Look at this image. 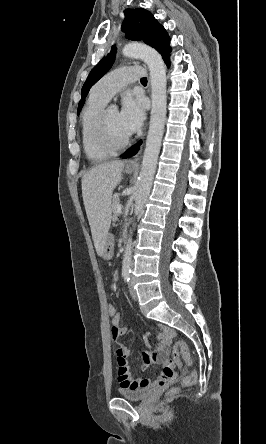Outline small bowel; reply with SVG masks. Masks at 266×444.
<instances>
[{
    "mask_svg": "<svg viewBox=\"0 0 266 444\" xmlns=\"http://www.w3.org/2000/svg\"><path fill=\"white\" fill-rule=\"evenodd\" d=\"M111 332L114 339L122 337L126 333V328L121 325V317L118 313L111 319ZM173 331L167 327H160L158 334V345L154 350H145L142 353L143 368H147L151 364L161 365L160 375L150 379L147 377L134 378L131 375L127 365V357L130 350L125 345H119L117 348V364H118V381L121 388L136 389L146 386H167L176 379L175 365L169 360V344ZM149 335L146 336V339Z\"/></svg>",
    "mask_w": 266,
    "mask_h": 444,
    "instance_id": "small-bowel-1",
    "label": "small bowel"
}]
</instances>
